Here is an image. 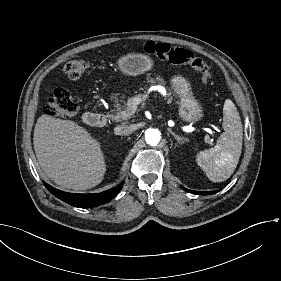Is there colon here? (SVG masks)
<instances>
[{
    "label": "colon",
    "instance_id": "obj_1",
    "mask_svg": "<svg viewBox=\"0 0 281 281\" xmlns=\"http://www.w3.org/2000/svg\"><path fill=\"white\" fill-rule=\"evenodd\" d=\"M137 47L163 62L189 64L201 73L203 79L209 80L211 78L208 65L187 49L174 47L168 43H157L153 41L138 42ZM89 64L88 58H75L65 64L64 73L70 79H78L87 73ZM45 109L48 116L71 119L77 112V105L69 92L60 90L55 92L47 100Z\"/></svg>",
    "mask_w": 281,
    "mask_h": 281
}]
</instances>
